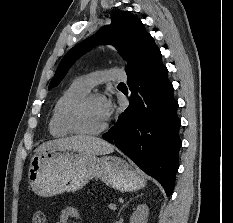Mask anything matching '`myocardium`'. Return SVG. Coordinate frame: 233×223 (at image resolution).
I'll list each match as a JSON object with an SVG mask.
<instances>
[{
    "instance_id": "f54148a6",
    "label": "myocardium",
    "mask_w": 233,
    "mask_h": 223,
    "mask_svg": "<svg viewBox=\"0 0 233 223\" xmlns=\"http://www.w3.org/2000/svg\"><path fill=\"white\" fill-rule=\"evenodd\" d=\"M97 98H100V95L94 93L86 94L84 97L76 100L69 107L66 113V124L74 134L85 137H94L104 133L109 127V124L107 122L100 129L96 131H86L80 126L79 117L81 111L88 104V102Z\"/></svg>"
}]
</instances>
